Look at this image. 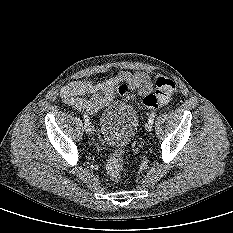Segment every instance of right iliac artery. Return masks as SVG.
<instances>
[{
	"label": "right iliac artery",
	"mask_w": 233,
	"mask_h": 233,
	"mask_svg": "<svg viewBox=\"0 0 233 233\" xmlns=\"http://www.w3.org/2000/svg\"><path fill=\"white\" fill-rule=\"evenodd\" d=\"M84 123H85V129L88 132V127L90 125V120L87 114H84Z\"/></svg>",
	"instance_id": "right-iliac-artery-1"
}]
</instances>
